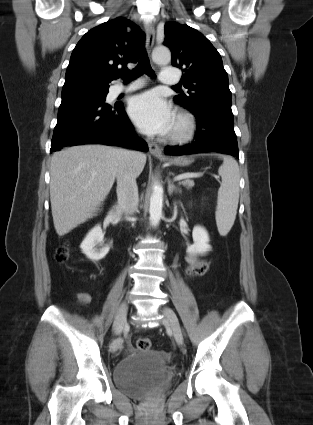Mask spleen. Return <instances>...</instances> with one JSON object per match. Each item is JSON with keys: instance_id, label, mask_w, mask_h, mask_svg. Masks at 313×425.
<instances>
[{"instance_id": "spleen-1", "label": "spleen", "mask_w": 313, "mask_h": 425, "mask_svg": "<svg viewBox=\"0 0 313 425\" xmlns=\"http://www.w3.org/2000/svg\"><path fill=\"white\" fill-rule=\"evenodd\" d=\"M219 157L223 159V164L218 170L222 183L218 190L215 216L218 231L221 236H225L233 226L237 214L240 173L238 163L233 157L228 155Z\"/></svg>"}]
</instances>
